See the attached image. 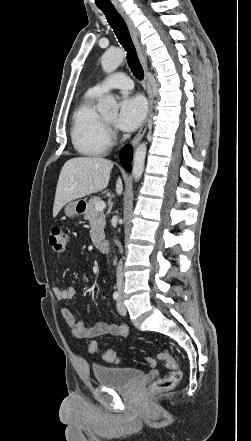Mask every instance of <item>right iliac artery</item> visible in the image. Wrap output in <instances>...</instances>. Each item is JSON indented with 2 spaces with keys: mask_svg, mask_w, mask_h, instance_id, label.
Masks as SVG:
<instances>
[{
  "mask_svg": "<svg viewBox=\"0 0 251 441\" xmlns=\"http://www.w3.org/2000/svg\"><path fill=\"white\" fill-rule=\"evenodd\" d=\"M119 297H120L119 292H118V291H115V292L113 293V298H114L115 300H118Z\"/></svg>",
  "mask_w": 251,
  "mask_h": 441,
  "instance_id": "right-iliac-artery-1",
  "label": "right iliac artery"
}]
</instances>
